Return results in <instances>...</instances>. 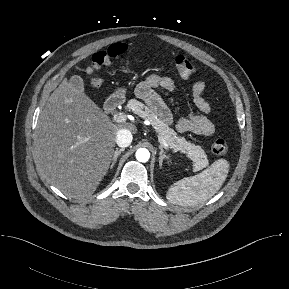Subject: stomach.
Returning <instances> with one entry per match:
<instances>
[{
	"label": "stomach",
	"mask_w": 289,
	"mask_h": 289,
	"mask_svg": "<svg viewBox=\"0 0 289 289\" xmlns=\"http://www.w3.org/2000/svg\"><path fill=\"white\" fill-rule=\"evenodd\" d=\"M115 94L121 98H124L125 94H126V88H124V87L118 88L116 90Z\"/></svg>",
	"instance_id": "stomach-1"
}]
</instances>
